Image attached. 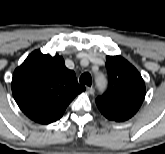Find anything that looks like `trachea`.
<instances>
[{
    "mask_svg": "<svg viewBox=\"0 0 165 154\" xmlns=\"http://www.w3.org/2000/svg\"><path fill=\"white\" fill-rule=\"evenodd\" d=\"M80 83L82 84H86L88 86H91L92 84V78H91V75L89 73H83L81 76H80V79H79Z\"/></svg>",
    "mask_w": 165,
    "mask_h": 154,
    "instance_id": "1",
    "label": "trachea"
}]
</instances>
